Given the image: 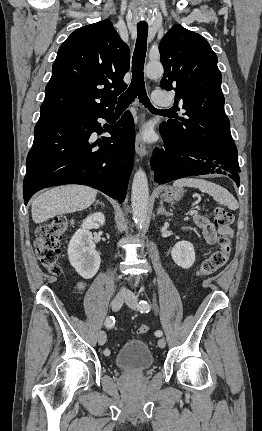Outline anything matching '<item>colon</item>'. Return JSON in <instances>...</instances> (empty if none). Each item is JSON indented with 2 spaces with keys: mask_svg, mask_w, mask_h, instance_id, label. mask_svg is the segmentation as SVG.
<instances>
[{
  "mask_svg": "<svg viewBox=\"0 0 262 431\" xmlns=\"http://www.w3.org/2000/svg\"><path fill=\"white\" fill-rule=\"evenodd\" d=\"M233 215L223 209L216 208L214 211V224L217 227H228L233 223ZM72 227V220L66 216H58L51 222L40 225L36 231V247L38 259L42 266L53 275L61 273V250L60 245L67 232ZM231 254V244L227 235L219 239V247L208 258L203 260L197 270L199 277H207L224 267ZM149 331L147 325L138 329L139 334Z\"/></svg>",
  "mask_w": 262,
  "mask_h": 431,
  "instance_id": "colon-1",
  "label": "colon"
}]
</instances>
